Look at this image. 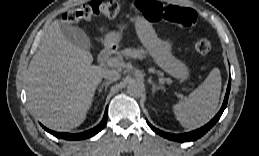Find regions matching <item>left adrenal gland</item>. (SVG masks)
<instances>
[{
  "label": "left adrenal gland",
  "mask_w": 259,
  "mask_h": 156,
  "mask_svg": "<svg viewBox=\"0 0 259 156\" xmlns=\"http://www.w3.org/2000/svg\"><path fill=\"white\" fill-rule=\"evenodd\" d=\"M148 83L152 85V92H153V94L156 92V90H164L163 86H161V85L157 86L155 83H153L151 78L148 79Z\"/></svg>",
  "instance_id": "obj_1"
}]
</instances>
